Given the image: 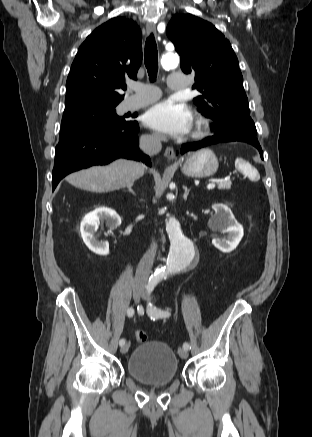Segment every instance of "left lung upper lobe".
<instances>
[{"instance_id": "left-lung-upper-lobe-1", "label": "left lung upper lobe", "mask_w": 312, "mask_h": 437, "mask_svg": "<svg viewBox=\"0 0 312 437\" xmlns=\"http://www.w3.org/2000/svg\"><path fill=\"white\" fill-rule=\"evenodd\" d=\"M181 58V69L195 74L201 95L199 112L215 121L216 131L242 142L258 141L238 59L225 36L211 23L193 16L174 15L166 29Z\"/></svg>"}]
</instances>
